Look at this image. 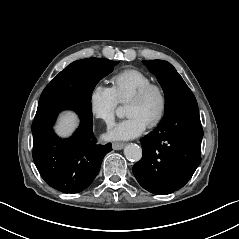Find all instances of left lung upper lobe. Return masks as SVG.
Instances as JSON below:
<instances>
[{
	"instance_id": "1",
	"label": "left lung upper lobe",
	"mask_w": 239,
	"mask_h": 239,
	"mask_svg": "<svg viewBox=\"0 0 239 239\" xmlns=\"http://www.w3.org/2000/svg\"><path fill=\"white\" fill-rule=\"evenodd\" d=\"M143 63L156 75L164 90L165 114L179 104L196 101L189 87L170 63L163 60H144Z\"/></svg>"
}]
</instances>
